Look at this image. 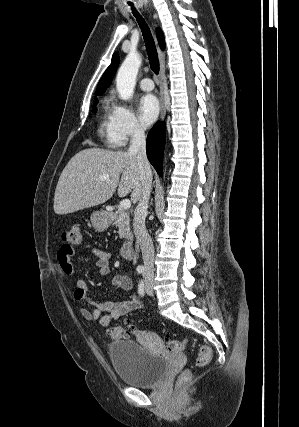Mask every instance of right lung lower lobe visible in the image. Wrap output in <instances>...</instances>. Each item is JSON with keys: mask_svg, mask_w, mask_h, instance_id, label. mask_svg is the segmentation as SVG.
<instances>
[{"mask_svg": "<svg viewBox=\"0 0 299 427\" xmlns=\"http://www.w3.org/2000/svg\"><path fill=\"white\" fill-rule=\"evenodd\" d=\"M165 126L163 123L155 124L147 136V157L154 166L159 176H162V160L165 147Z\"/></svg>", "mask_w": 299, "mask_h": 427, "instance_id": "98d812e1", "label": "right lung lower lobe"}]
</instances>
